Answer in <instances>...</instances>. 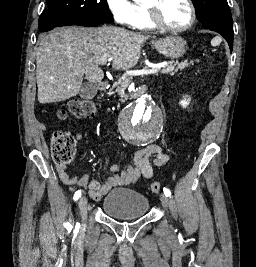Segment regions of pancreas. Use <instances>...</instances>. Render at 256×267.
<instances>
[{
  "label": "pancreas",
  "instance_id": "1",
  "mask_svg": "<svg viewBox=\"0 0 256 267\" xmlns=\"http://www.w3.org/2000/svg\"><path fill=\"white\" fill-rule=\"evenodd\" d=\"M189 64H192L193 66V62H189ZM189 64L187 60H185V62H180V64H174V66H171V64H169L167 68H163V70H160V74H171V76H173V74H175L177 70H184V68H188ZM175 66H177V68H175ZM154 70H159V68H154ZM132 80L133 76H129V74H124V80H119V82H115L112 88H116V92H118V94H123L124 90L128 88Z\"/></svg>",
  "mask_w": 256,
  "mask_h": 267
}]
</instances>
